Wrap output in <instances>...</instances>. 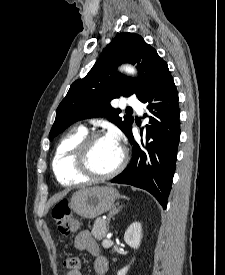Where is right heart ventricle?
Returning <instances> with one entry per match:
<instances>
[{"mask_svg":"<svg viewBox=\"0 0 225 275\" xmlns=\"http://www.w3.org/2000/svg\"><path fill=\"white\" fill-rule=\"evenodd\" d=\"M87 134L83 126L74 128L59 141L52 167L57 181L63 185H75L86 181L73 167V155L76 145Z\"/></svg>","mask_w":225,"mask_h":275,"instance_id":"right-heart-ventricle-1","label":"right heart ventricle"}]
</instances>
